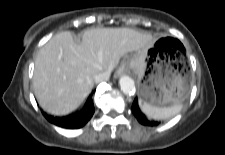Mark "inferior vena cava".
Masks as SVG:
<instances>
[{
    "label": "inferior vena cava",
    "instance_id": "1",
    "mask_svg": "<svg viewBox=\"0 0 225 155\" xmlns=\"http://www.w3.org/2000/svg\"><path fill=\"white\" fill-rule=\"evenodd\" d=\"M109 77H110V71L101 72L95 75L94 81L95 83H101L104 81H108Z\"/></svg>",
    "mask_w": 225,
    "mask_h": 155
}]
</instances>
